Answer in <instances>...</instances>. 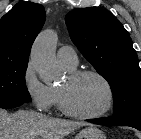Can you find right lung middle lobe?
<instances>
[{"mask_svg":"<svg viewBox=\"0 0 141 139\" xmlns=\"http://www.w3.org/2000/svg\"><path fill=\"white\" fill-rule=\"evenodd\" d=\"M27 62H0V104L31 101L26 87Z\"/></svg>","mask_w":141,"mask_h":139,"instance_id":"right-lung-middle-lobe-1","label":"right lung middle lobe"}]
</instances>
